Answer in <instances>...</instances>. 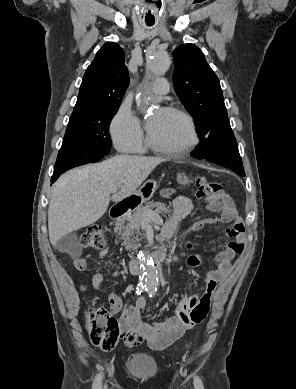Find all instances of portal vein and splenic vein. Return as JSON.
Segmentation results:
<instances>
[{
	"instance_id": "1",
	"label": "portal vein and splenic vein",
	"mask_w": 296,
	"mask_h": 389,
	"mask_svg": "<svg viewBox=\"0 0 296 389\" xmlns=\"http://www.w3.org/2000/svg\"><path fill=\"white\" fill-rule=\"evenodd\" d=\"M143 218H145L147 220L162 222V219L158 215H156V214H154V213H152L150 211H145L143 213Z\"/></svg>"
}]
</instances>
